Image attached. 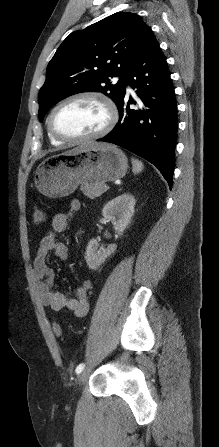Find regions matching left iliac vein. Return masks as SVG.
I'll use <instances>...</instances> for the list:
<instances>
[{
  "label": "left iliac vein",
  "mask_w": 219,
  "mask_h": 447,
  "mask_svg": "<svg viewBox=\"0 0 219 447\" xmlns=\"http://www.w3.org/2000/svg\"><path fill=\"white\" fill-rule=\"evenodd\" d=\"M90 372L89 370H83L78 377V385L81 387L85 381L88 379Z\"/></svg>",
  "instance_id": "4c4485c4"
}]
</instances>
